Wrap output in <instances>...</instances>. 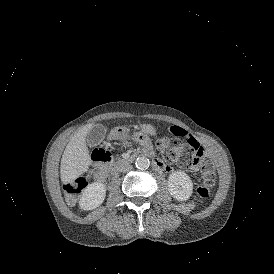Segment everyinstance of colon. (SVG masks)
Segmentation results:
<instances>
[{
  "instance_id": "obj_1",
  "label": "colon",
  "mask_w": 274,
  "mask_h": 274,
  "mask_svg": "<svg viewBox=\"0 0 274 274\" xmlns=\"http://www.w3.org/2000/svg\"><path fill=\"white\" fill-rule=\"evenodd\" d=\"M145 136L144 131H137L135 133L137 140H144ZM131 140L133 141L134 139L132 138ZM157 146L163 159L174 162L179 168H190V163L193 160L192 154H194L195 149L192 148L189 141H183L178 137H165L159 140ZM198 171L202 181L196 186V193L201 198H209L215 186V166L211 161H204L201 163ZM89 183V175H80L79 179L65 184L63 191L67 204L70 206L74 205L77 200L76 196Z\"/></svg>"
}]
</instances>
